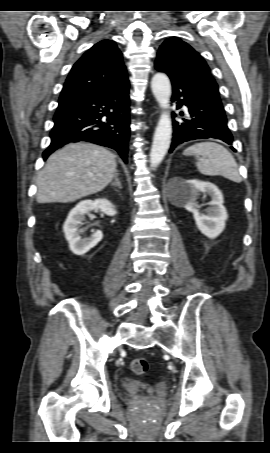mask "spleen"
Returning a JSON list of instances; mask_svg holds the SVG:
<instances>
[{
  "mask_svg": "<svg viewBox=\"0 0 270 453\" xmlns=\"http://www.w3.org/2000/svg\"><path fill=\"white\" fill-rule=\"evenodd\" d=\"M184 155L198 157L195 164L198 171L204 175H221L237 183L242 181L233 155L218 143L194 144L184 151Z\"/></svg>",
  "mask_w": 270,
  "mask_h": 453,
  "instance_id": "1",
  "label": "spleen"
}]
</instances>
